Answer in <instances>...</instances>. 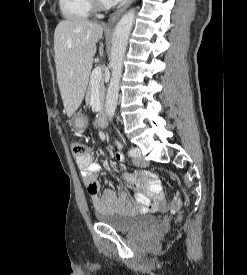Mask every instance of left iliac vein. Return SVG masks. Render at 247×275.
Wrapping results in <instances>:
<instances>
[{"mask_svg": "<svg viewBox=\"0 0 247 275\" xmlns=\"http://www.w3.org/2000/svg\"><path fill=\"white\" fill-rule=\"evenodd\" d=\"M136 152V157L134 159V163L140 167H146L148 162L141 156V150L138 147L132 148Z\"/></svg>", "mask_w": 247, "mask_h": 275, "instance_id": "left-iliac-vein-1", "label": "left iliac vein"}]
</instances>
